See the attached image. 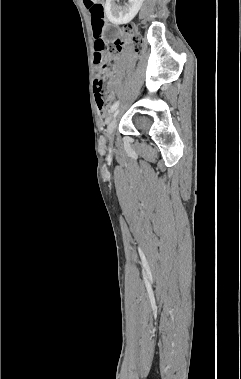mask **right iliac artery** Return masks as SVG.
<instances>
[{
    "label": "right iliac artery",
    "mask_w": 241,
    "mask_h": 379,
    "mask_svg": "<svg viewBox=\"0 0 241 379\" xmlns=\"http://www.w3.org/2000/svg\"><path fill=\"white\" fill-rule=\"evenodd\" d=\"M118 105H119V102L117 101L116 103L113 104L111 111L113 112L114 110H116Z\"/></svg>",
    "instance_id": "1"
}]
</instances>
